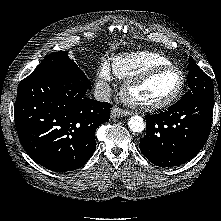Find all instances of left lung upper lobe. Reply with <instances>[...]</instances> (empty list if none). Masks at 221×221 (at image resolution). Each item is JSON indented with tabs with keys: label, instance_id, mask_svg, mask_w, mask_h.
Here are the masks:
<instances>
[{
	"label": "left lung upper lobe",
	"instance_id": "left-lung-upper-lobe-1",
	"mask_svg": "<svg viewBox=\"0 0 221 221\" xmlns=\"http://www.w3.org/2000/svg\"><path fill=\"white\" fill-rule=\"evenodd\" d=\"M188 86L190 90L181 99L195 94L214 98L211 78L197 66L192 57H189Z\"/></svg>",
	"mask_w": 221,
	"mask_h": 221
}]
</instances>
